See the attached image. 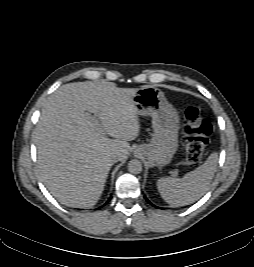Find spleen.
<instances>
[{
  "instance_id": "obj_1",
  "label": "spleen",
  "mask_w": 254,
  "mask_h": 267,
  "mask_svg": "<svg viewBox=\"0 0 254 267\" xmlns=\"http://www.w3.org/2000/svg\"><path fill=\"white\" fill-rule=\"evenodd\" d=\"M218 154L212 153L204 164L188 172L183 178H160L157 188L171 206H185L197 201L209 189L217 168Z\"/></svg>"
}]
</instances>
